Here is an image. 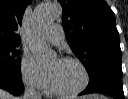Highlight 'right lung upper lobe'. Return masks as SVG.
<instances>
[{
	"label": "right lung upper lobe",
	"instance_id": "obj_1",
	"mask_svg": "<svg viewBox=\"0 0 128 99\" xmlns=\"http://www.w3.org/2000/svg\"><path fill=\"white\" fill-rule=\"evenodd\" d=\"M29 3L31 0H0V44L19 45L17 31Z\"/></svg>",
	"mask_w": 128,
	"mask_h": 99
}]
</instances>
